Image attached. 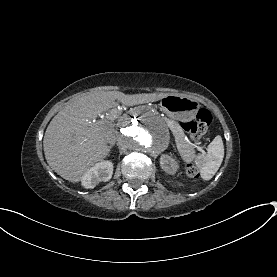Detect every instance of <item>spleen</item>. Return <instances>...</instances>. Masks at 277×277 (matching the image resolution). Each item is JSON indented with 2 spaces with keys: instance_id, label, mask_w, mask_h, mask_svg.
Listing matches in <instances>:
<instances>
[{
  "instance_id": "3e777b00",
  "label": "spleen",
  "mask_w": 277,
  "mask_h": 277,
  "mask_svg": "<svg viewBox=\"0 0 277 277\" xmlns=\"http://www.w3.org/2000/svg\"><path fill=\"white\" fill-rule=\"evenodd\" d=\"M224 157V145L222 137L217 135L208 145L205 155H195L194 163L199 169L200 176L204 180H210L218 171Z\"/></svg>"
}]
</instances>
